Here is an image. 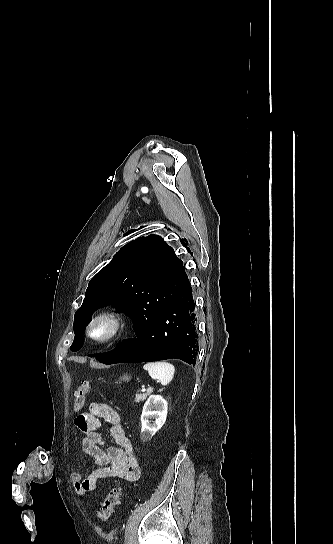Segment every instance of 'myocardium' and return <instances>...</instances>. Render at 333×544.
Instances as JSON below:
<instances>
[{
	"instance_id": "f54148a6",
	"label": "myocardium",
	"mask_w": 333,
	"mask_h": 544,
	"mask_svg": "<svg viewBox=\"0 0 333 544\" xmlns=\"http://www.w3.org/2000/svg\"><path fill=\"white\" fill-rule=\"evenodd\" d=\"M99 326L105 327V333L97 336L95 330ZM123 327V318L117 312L106 309L96 313L88 323L86 329L87 337L98 344L110 342L116 338Z\"/></svg>"
}]
</instances>
